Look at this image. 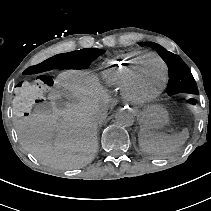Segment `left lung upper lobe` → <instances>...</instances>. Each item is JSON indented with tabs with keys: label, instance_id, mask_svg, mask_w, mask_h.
<instances>
[{
	"label": "left lung upper lobe",
	"instance_id": "obj_1",
	"mask_svg": "<svg viewBox=\"0 0 211 211\" xmlns=\"http://www.w3.org/2000/svg\"><path fill=\"white\" fill-rule=\"evenodd\" d=\"M140 44L147 45L156 50V52L168 64L169 82L166 92L169 96L177 93L198 95V88L193 75L188 66L179 56L167 51L165 48L154 42H143ZM189 102L195 104L193 99H189Z\"/></svg>",
	"mask_w": 211,
	"mask_h": 211
}]
</instances>
